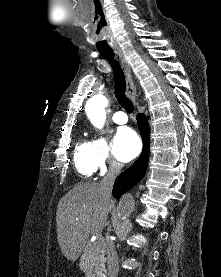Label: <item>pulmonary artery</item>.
<instances>
[{
  "instance_id": "pulmonary-artery-1",
  "label": "pulmonary artery",
  "mask_w": 221,
  "mask_h": 277,
  "mask_svg": "<svg viewBox=\"0 0 221 277\" xmlns=\"http://www.w3.org/2000/svg\"><path fill=\"white\" fill-rule=\"evenodd\" d=\"M112 120L116 124H125L128 120L127 115L123 111H117L112 115Z\"/></svg>"
}]
</instances>
